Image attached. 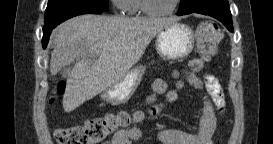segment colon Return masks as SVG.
<instances>
[{
	"mask_svg": "<svg viewBox=\"0 0 273 144\" xmlns=\"http://www.w3.org/2000/svg\"><path fill=\"white\" fill-rule=\"evenodd\" d=\"M221 38L218 25L212 20L202 21L197 29V44L199 58L193 60L190 67L197 71L216 52L217 45ZM65 91V83L59 82L55 88V96L62 95ZM156 112L158 107H152ZM139 116V114H136ZM132 116L125 111H117L106 114L103 117L87 120L82 125L59 128L55 132L59 144H94L117 132L119 129L128 126Z\"/></svg>",
	"mask_w": 273,
	"mask_h": 144,
	"instance_id": "1",
	"label": "colon"
}]
</instances>
